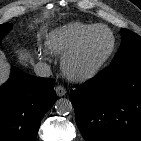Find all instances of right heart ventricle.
I'll use <instances>...</instances> for the list:
<instances>
[{
    "instance_id": "1",
    "label": "right heart ventricle",
    "mask_w": 141,
    "mask_h": 141,
    "mask_svg": "<svg viewBox=\"0 0 141 141\" xmlns=\"http://www.w3.org/2000/svg\"><path fill=\"white\" fill-rule=\"evenodd\" d=\"M96 24L72 22L51 31L45 41L46 49L58 56L68 52Z\"/></svg>"
}]
</instances>
